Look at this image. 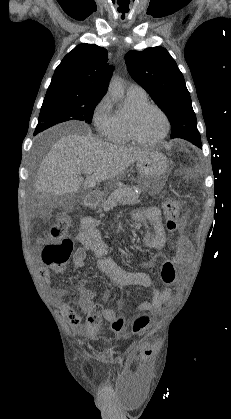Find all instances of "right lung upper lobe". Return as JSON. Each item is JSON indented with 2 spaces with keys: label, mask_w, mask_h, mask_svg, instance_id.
Returning <instances> with one entry per match:
<instances>
[{
  "label": "right lung upper lobe",
  "mask_w": 231,
  "mask_h": 419,
  "mask_svg": "<svg viewBox=\"0 0 231 419\" xmlns=\"http://www.w3.org/2000/svg\"><path fill=\"white\" fill-rule=\"evenodd\" d=\"M112 71L105 48L80 44L57 66L48 89L64 88L78 95L102 97Z\"/></svg>",
  "instance_id": "cb5924a9"
}]
</instances>
